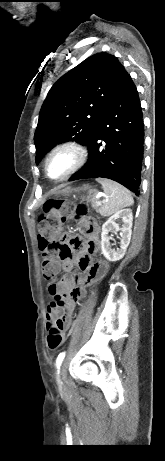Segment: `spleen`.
<instances>
[{"label":"spleen","mask_w":165,"mask_h":461,"mask_svg":"<svg viewBox=\"0 0 165 461\" xmlns=\"http://www.w3.org/2000/svg\"><path fill=\"white\" fill-rule=\"evenodd\" d=\"M97 181L102 185L107 198L100 208L102 216H109L124 207L133 205V197L125 187L108 179L98 178Z\"/></svg>","instance_id":"3e777b00"}]
</instances>
